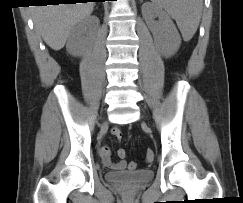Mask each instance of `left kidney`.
<instances>
[{"instance_id": "1", "label": "left kidney", "mask_w": 243, "mask_h": 203, "mask_svg": "<svg viewBox=\"0 0 243 203\" xmlns=\"http://www.w3.org/2000/svg\"><path fill=\"white\" fill-rule=\"evenodd\" d=\"M142 15L153 33L156 47L165 57H171L179 49L180 35L168 14L154 4L145 3ZM158 17L159 21H154Z\"/></svg>"}]
</instances>
